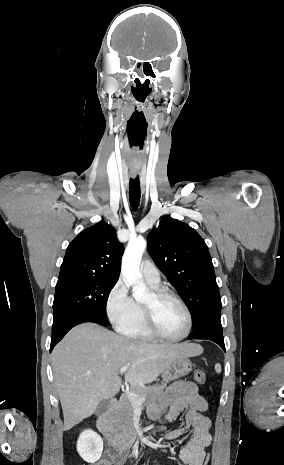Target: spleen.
<instances>
[{
	"label": "spleen",
	"mask_w": 284,
	"mask_h": 465,
	"mask_svg": "<svg viewBox=\"0 0 284 465\" xmlns=\"http://www.w3.org/2000/svg\"><path fill=\"white\" fill-rule=\"evenodd\" d=\"M214 369H215L216 373H221L222 369H221L220 363H217V365H215Z\"/></svg>",
	"instance_id": "3e777b00"
}]
</instances>
